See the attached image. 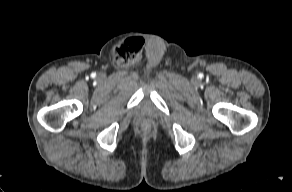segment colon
Wrapping results in <instances>:
<instances>
[{"mask_svg": "<svg viewBox=\"0 0 292 192\" xmlns=\"http://www.w3.org/2000/svg\"><path fill=\"white\" fill-rule=\"evenodd\" d=\"M143 45L141 38H135L131 42L123 43L116 51L119 57H128L136 55Z\"/></svg>", "mask_w": 292, "mask_h": 192, "instance_id": "obj_1", "label": "colon"}]
</instances>
